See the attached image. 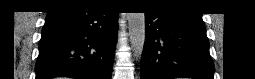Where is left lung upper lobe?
I'll return each instance as SVG.
<instances>
[{
	"label": "left lung upper lobe",
	"mask_w": 255,
	"mask_h": 79,
	"mask_svg": "<svg viewBox=\"0 0 255 79\" xmlns=\"http://www.w3.org/2000/svg\"><path fill=\"white\" fill-rule=\"evenodd\" d=\"M163 3H176L174 0H165V1H162Z\"/></svg>",
	"instance_id": "obj_1"
}]
</instances>
